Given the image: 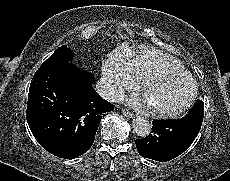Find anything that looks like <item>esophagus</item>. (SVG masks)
I'll use <instances>...</instances> for the list:
<instances>
[{
    "instance_id": "34e87169",
    "label": "esophagus",
    "mask_w": 230,
    "mask_h": 181,
    "mask_svg": "<svg viewBox=\"0 0 230 181\" xmlns=\"http://www.w3.org/2000/svg\"><path fill=\"white\" fill-rule=\"evenodd\" d=\"M122 113H123V115H124L125 117H127V118H132V116H133L132 112L129 111L128 109H123V110H122Z\"/></svg>"
}]
</instances>
